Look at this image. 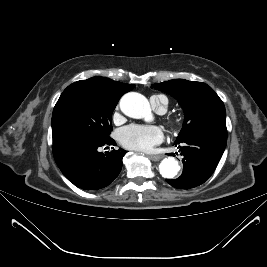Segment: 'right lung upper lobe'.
I'll return each mask as SVG.
<instances>
[{"mask_svg":"<svg viewBox=\"0 0 267 267\" xmlns=\"http://www.w3.org/2000/svg\"><path fill=\"white\" fill-rule=\"evenodd\" d=\"M87 81L99 84L120 97L134 87L132 84H124L105 77H92Z\"/></svg>","mask_w":267,"mask_h":267,"instance_id":"1","label":"right lung upper lobe"}]
</instances>
